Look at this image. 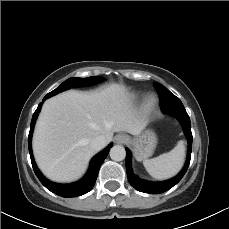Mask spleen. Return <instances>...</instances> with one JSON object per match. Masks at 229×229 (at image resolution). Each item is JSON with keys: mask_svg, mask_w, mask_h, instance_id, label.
Instances as JSON below:
<instances>
[{"mask_svg": "<svg viewBox=\"0 0 229 229\" xmlns=\"http://www.w3.org/2000/svg\"><path fill=\"white\" fill-rule=\"evenodd\" d=\"M184 158V142L179 141L170 152L152 159H145L143 165L153 178L168 179L180 171L184 163Z\"/></svg>", "mask_w": 229, "mask_h": 229, "instance_id": "obj_1", "label": "spleen"}]
</instances>
